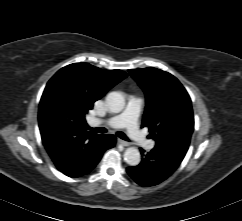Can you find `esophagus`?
Here are the masks:
<instances>
[{"mask_svg": "<svg viewBox=\"0 0 242 221\" xmlns=\"http://www.w3.org/2000/svg\"><path fill=\"white\" fill-rule=\"evenodd\" d=\"M118 142H119L121 145H123V146H129V145H130L129 142L124 141V140H122V139H118Z\"/></svg>", "mask_w": 242, "mask_h": 221, "instance_id": "1", "label": "esophagus"}]
</instances>
